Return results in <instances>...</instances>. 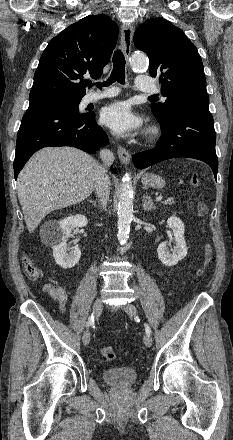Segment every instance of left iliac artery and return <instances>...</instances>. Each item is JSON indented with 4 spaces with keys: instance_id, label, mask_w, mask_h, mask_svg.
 <instances>
[{
    "instance_id": "obj_1",
    "label": "left iliac artery",
    "mask_w": 233,
    "mask_h": 440,
    "mask_svg": "<svg viewBox=\"0 0 233 440\" xmlns=\"http://www.w3.org/2000/svg\"><path fill=\"white\" fill-rule=\"evenodd\" d=\"M145 329L147 334H151L150 327L147 324H145Z\"/></svg>"
}]
</instances>
